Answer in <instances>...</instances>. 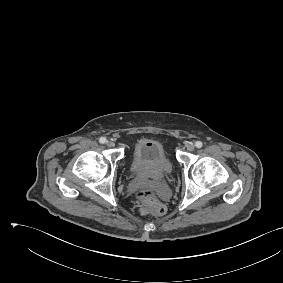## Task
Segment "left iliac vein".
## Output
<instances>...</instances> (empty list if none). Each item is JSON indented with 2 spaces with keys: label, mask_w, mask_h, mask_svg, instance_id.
Masks as SVG:
<instances>
[{
  "label": "left iliac vein",
  "mask_w": 283,
  "mask_h": 283,
  "mask_svg": "<svg viewBox=\"0 0 283 283\" xmlns=\"http://www.w3.org/2000/svg\"><path fill=\"white\" fill-rule=\"evenodd\" d=\"M195 149V146H194V144L193 143H189L188 145H187V150L188 151H193Z\"/></svg>",
  "instance_id": "4c4485c4"
}]
</instances>
